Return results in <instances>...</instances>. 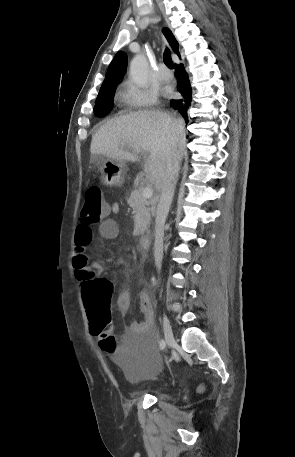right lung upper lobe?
Listing matches in <instances>:
<instances>
[{
    "instance_id": "cb5924a9",
    "label": "right lung upper lobe",
    "mask_w": 295,
    "mask_h": 457,
    "mask_svg": "<svg viewBox=\"0 0 295 457\" xmlns=\"http://www.w3.org/2000/svg\"><path fill=\"white\" fill-rule=\"evenodd\" d=\"M162 31L173 51L179 54L178 42L176 41L172 32L167 28H164ZM126 67L127 55L123 51H119L112 60L111 64L109 65L104 82L100 90L115 88L116 85H118L122 80L126 71Z\"/></svg>"
}]
</instances>
